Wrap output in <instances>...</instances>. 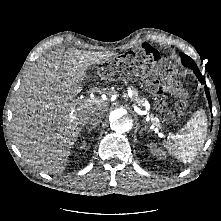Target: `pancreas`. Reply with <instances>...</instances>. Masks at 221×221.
<instances>
[{
  "mask_svg": "<svg viewBox=\"0 0 221 221\" xmlns=\"http://www.w3.org/2000/svg\"><path fill=\"white\" fill-rule=\"evenodd\" d=\"M133 93H134V95H135V101H136L138 104H141V103L143 102V98L138 97V93H137V91H136L135 88L133 89Z\"/></svg>",
  "mask_w": 221,
  "mask_h": 221,
  "instance_id": "cf45deb5",
  "label": "pancreas"
}]
</instances>
